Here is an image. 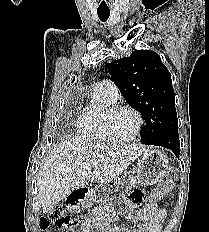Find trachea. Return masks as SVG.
Here are the masks:
<instances>
[{"label": "trachea", "mask_w": 209, "mask_h": 232, "mask_svg": "<svg viewBox=\"0 0 209 232\" xmlns=\"http://www.w3.org/2000/svg\"><path fill=\"white\" fill-rule=\"evenodd\" d=\"M97 14L102 22H106L110 16V11H97Z\"/></svg>", "instance_id": "obj_1"}]
</instances>
